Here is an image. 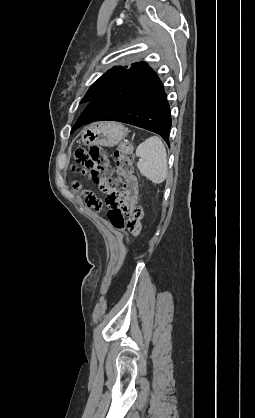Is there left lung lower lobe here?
I'll list each match as a JSON object with an SVG mask.
<instances>
[{"label": "left lung lower lobe", "instance_id": "1", "mask_svg": "<svg viewBox=\"0 0 255 418\" xmlns=\"http://www.w3.org/2000/svg\"><path fill=\"white\" fill-rule=\"evenodd\" d=\"M104 120L147 129L169 144L172 121L167 95L161 80L146 63L131 66L91 100L74 128Z\"/></svg>", "mask_w": 255, "mask_h": 418}]
</instances>
